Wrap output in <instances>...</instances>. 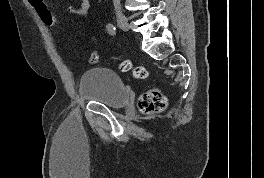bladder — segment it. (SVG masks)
I'll return each instance as SVG.
<instances>
[{
  "instance_id": "obj_1",
  "label": "bladder",
  "mask_w": 264,
  "mask_h": 178,
  "mask_svg": "<svg viewBox=\"0 0 264 178\" xmlns=\"http://www.w3.org/2000/svg\"><path fill=\"white\" fill-rule=\"evenodd\" d=\"M82 100L98 101L108 107H124L130 93L120 77L110 68L94 67L85 71L79 81Z\"/></svg>"
}]
</instances>
